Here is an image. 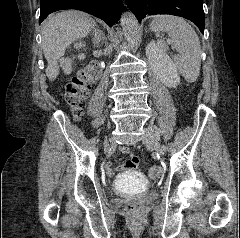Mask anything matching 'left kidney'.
Segmentation results:
<instances>
[{
  "mask_svg": "<svg viewBox=\"0 0 240 238\" xmlns=\"http://www.w3.org/2000/svg\"><path fill=\"white\" fill-rule=\"evenodd\" d=\"M146 56L152 70L162 83L169 88H175L180 84L175 63L158 43L152 41L147 45Z\"/></svg>",
  "mask_w": 240,
  "mask_h": 238,
  "instance_id": "left-kidney-1",
  "label": "left kidney"
}]
</instances>
